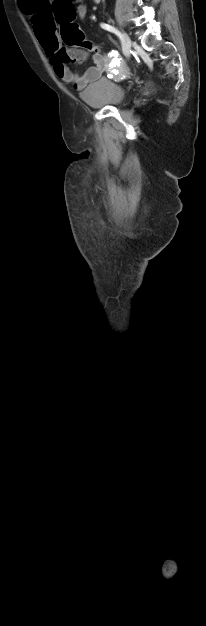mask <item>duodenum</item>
<instances>
[{"label": "duodenum", "instance_id": "410a0bca", "mask_svg": "<svg viewBox=\"0 0 206 626\" xmlns=\"http://www.w3.org/2000/svg\"><path fill=\"white\" fill-rule=\"evenodd\" d=\"M93 1L97 3V2H99L100 0H93Z\"/></svg>", "mask_w": 206, "mask_h": 626}]
</instances>
